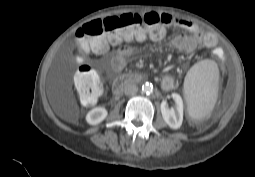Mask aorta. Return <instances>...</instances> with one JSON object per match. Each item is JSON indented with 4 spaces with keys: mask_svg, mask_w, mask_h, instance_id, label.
I'll use <instances>...</instances> for the list:
<instances>
[{
    "mask_svg": "<svg viewBox=\"0 0 255 177\" xmlns=\"http://www.w3.org/2000/svg\"><path fill=\"white\" fill-rule=\"evenodd\" d=\"M153 91V85L149 82H146L142 85V92L150 94Z\"/></svg>",
    "mask_w": 255,
    "mask_h": 177,
    "instance_id": "762f6f07",
    "label": "aorta"
}]
</instances>
